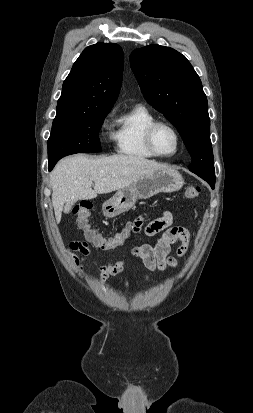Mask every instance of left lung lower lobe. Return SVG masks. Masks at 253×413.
I'll list each match as a JSON object with an SVG mask.
<instances>
[{"label":"left lung lower lobe","mask_w":253,"mask_h":413,"mask_svg":"<svg viewBox=\"0 0 253 413\" xmlns=\"http://www.w3.org/2000/svg\"><path fill=\"white\" fill-rule=\"evenodd\" d=\"M202 179H204L205 181H207L210 186L212 187V189H214L215 186V177H209V176H200Z\"/></svg>","instance_id":"1"}]
</instances>
